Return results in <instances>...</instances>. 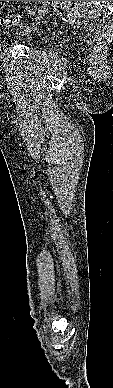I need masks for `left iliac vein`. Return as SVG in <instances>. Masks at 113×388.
<instances>
[{
	"mask_svg": "<svg viewBox=\"0 0 113 388\" xmlns=\"http://www.w3.org/2000/svg\"><path fill=\"white\" fill-rule=\"evenodd\" d=\"M50 4V1H42V8L40 10V15H44L48 5Z\"/></svg>",
	"mask_w": 113,
	"mask_h": 388,
	"instance_id": "left-iliac-vein-1",
	"label": "left iliac vein"
}]
</instances>
